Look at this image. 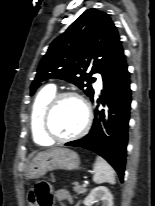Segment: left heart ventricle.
<instances>
[{"mask_svg":"<svg viewBox=\"0 0 155 206\" xmlns=\"http://www.w3.org/2000/svg\"><path fill=\"white\" fill-rule=\"evenodd\" d=\"M85 113L82 104L75 98H64L55 106L49 121L51 131L66 137L79 131L84 123Z\"/></svg>","mask_w":155,"mask_h":206,"instance_id":"b2bd125f","label":"left heart ventricle"}]
</instances>
